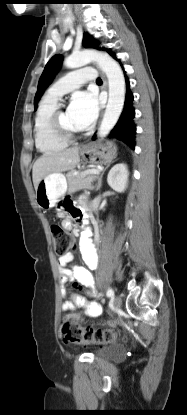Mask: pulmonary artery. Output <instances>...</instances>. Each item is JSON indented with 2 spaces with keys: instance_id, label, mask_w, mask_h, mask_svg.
<instances>
[{
  "instance_id": "1",
  "label": "pulmonary artery",
  "mask_w": 187,
  "mask_h": 415,
  "mask_svg": "<svg viewBox=\"0 0 187 415\" xmlns=\"http://www.w3.org/2000/svg\"><path fill=\"white\" fill-rule=\"evenodd\" d=\"M97 72L92 67H85L70 72L54 83L47 92V98L57 101L68 92L79 88L85 82H94Z\"/></svg>"
}]
</instances>
